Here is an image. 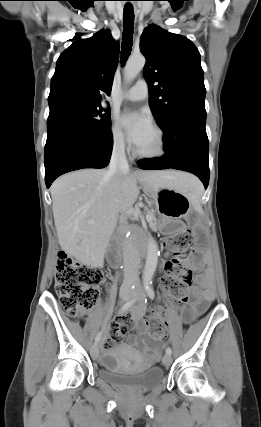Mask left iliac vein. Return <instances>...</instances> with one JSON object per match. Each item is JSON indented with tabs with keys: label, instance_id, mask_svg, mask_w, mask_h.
I'll list each match as a JSON object with an SVG mask.
<instances>
[{
	"label": "left iliac vein",
	"instance_id": "4c4485c4",
	"mask_svg": "<svg viewBox=\"0 0 261 427\" xmlns=\"http://www.w3.org/2000/svg\"><path fill=\"white\" fill-rule=\"evenodd\" d=\"M145 297H146V294H145L142 290H140L139 292H137V293L132 297V299H133V300H135V301H137V303H138L139 305H142V304H143V302H144ZM162 362H163V364H164L165 366H170V364L172 363V357H171V355L166 353V354L163 356Z\"/></svg>",
	"mask_w": 261,
	"mask_h": 427
}]
</instances>
